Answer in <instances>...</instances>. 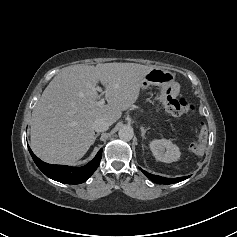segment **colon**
I'll list each match as a JSON object with an SVG mask.
<instances>
[{
    "instance_id": "1",
    "label": "colon",
    "mask_w": 237,
    "mask_h": 237,
    "mask_svg": "<svg viewBox=\"0 0 237 237\" xmlns=\"http://www.w3.org/2000/svg\"><path fill=\"white\" fill-rule=\"evenodd\" d=\"M163 104L165 110L173 116H181L187 113H191L195 110V107L184 97L175 96L170 92H167L163 97ZM208 132L205 124L201 122L199 124V132L196 141L191 145V150L195 154H202L206 148Z\"/></svg>"
}]
</instances>
